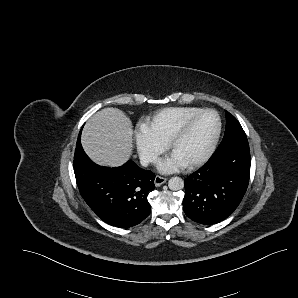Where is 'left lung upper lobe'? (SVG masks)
Instances as JSON below:
<instances>
[{"label": "left lung upper lobe", "mask_w": 298, "mask_h": 298, "mask_svg": "<svg viewBox=\"0 0 298 298\" xmlns=\"http://www.w3.org/2000/svg\"><path fill=\"white\" fill-rule=\"evenodd\" d=\"M226 130L222 142L239 135H245L244 130L242 129L239 122L231 115L229 112L226 111Z\"/></svg>", "instance_id": "left-lung-upper-lobe-1"}]
</instances>
